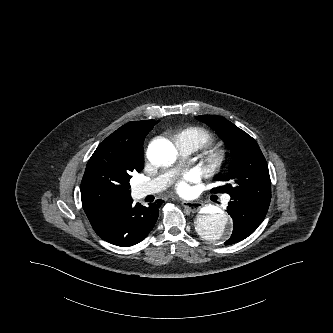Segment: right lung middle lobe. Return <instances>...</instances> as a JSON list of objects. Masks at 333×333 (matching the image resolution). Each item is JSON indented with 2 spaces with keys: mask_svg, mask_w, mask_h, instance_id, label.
I'll return each mask as SVG.
<instances>
[{
  "mask_svg": "<svg viewBox=\"0 0 333 333\" xmlns=\"http://www.w3.org/2000/svg\"><path fill=\"white\" fill-rule=\"evenodd\" d=\"M154 120H149L147 121V129H146V134H148L154 126ZM142 166L137 167V168H133L130 169L129 171H124L120 176L119 179L117 180V182H115L114 184L116 185V187L120 190L126 191V192H130V184L129 181L131 179V174L132 172H140L142 170Z\"/></svg>",
  "mask_w": 333,
  "mask_h": 333,
  "instance_id": "dd1d6c3e",
  "label": "right lung middle lobe"
}]
</instances>
